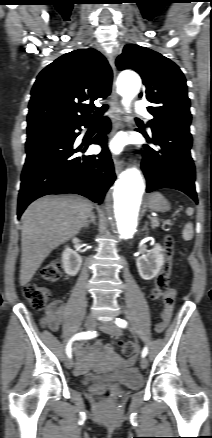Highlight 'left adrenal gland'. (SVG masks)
Returning a JSON list of instances; mask_svg holds the SVG:
<instances>
[{"instance_id": "left-adrenal-gland-1", "label": "left adrenal gland", "mask_w": 212, "mask_h": 438, "mask_svg": "<svg viewBox=\"0 0 212 438\" xmlns=\"http://www.w3.org/2000/svg\"><path fill=\"white\" fill-rule=\"evenodd\" d=\"M147 226H148V222H145V225H144V227H143V230H146V231H147V230H148V227H147Z\"/></svg>"}]
</instances>
